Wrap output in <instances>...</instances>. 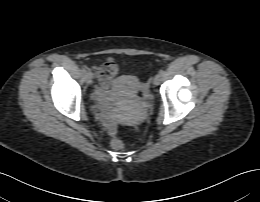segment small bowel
I'll list each match as a JSON object with an SVG mask.
<instances>
[{
  "mask_svg": "<svg viewBox=\"0 0 260 202\" xmlns=\"http://www.w3.org/2000/svg\"><path fill=\"white\" fill-rule=\"evenodd\" d=\"M109 87V82H101L100 86L94 92V96L99 101L96 110L103 127L109 135H114L117 132L118 124L123 121V118L121 116H115L112 113L110 99L106 97Z\"/></svg>",
  "mask_w": 260,
  "mask_h": 202,
  "instance_id": "small-bowel-1",
  "label": "small bowel"
}]
</instances>
